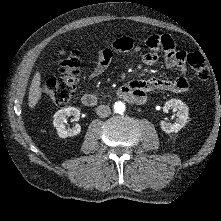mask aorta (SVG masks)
<instances>
[{
  "instance_id": "1",
  "label": "aorta",
  "mask_w": 221,
  "mask_h": 221,
  "mask_svg": "<svg viewBox=\"0 0 221 221\" xmlns=\"http://www.w3.org/2000/svg\"><path fill=\"white\" fill-rule=\"evenodd\" d=\"M114 111L116 113H123L125 111V105L122 102H116L114 104Z\"/></svg>"
}]
</instances>
